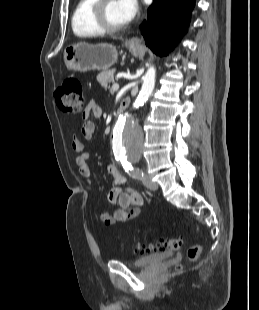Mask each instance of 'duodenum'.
<instances>
[{
    "label": "duodenum",
    "instance_id": "1",
    "mask_svg": "<svg viewBox=\"0 0 259 310\" xmlns=\"http://www.w3.org/2000/svg\"><path fill=\"white\" fill-rule=\"evenodd\" d=\"M128 104H129V100L123 99L120 106L116 110V115H121L122 113H124L128 107Z\"/></svg>",
    "mask_w": 259,
    "mask_h": 310
}]
</instances>
